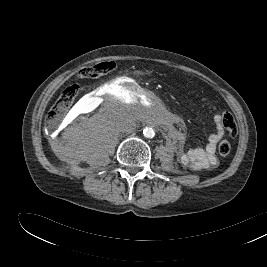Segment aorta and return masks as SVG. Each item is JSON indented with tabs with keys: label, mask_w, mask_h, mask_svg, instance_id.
<instances>
[{
	"label": "aorta",
	"mask_w": 267,
	"mask_h": 267,
	"mask_svg": "<svg viewBox=\"0 0 267 267\" xmlns=\"http://www.w3.org/2000/svg\"><path fill=\"white\" fill-rule=\"evenodd\" d=\"M143 135L144 137L146 138H153L154 135H155V132L154 130L151 128V127H146L144 130H143Z\"/></svg>",
	"instance_id": "762f6f07"
}]
</instances>
